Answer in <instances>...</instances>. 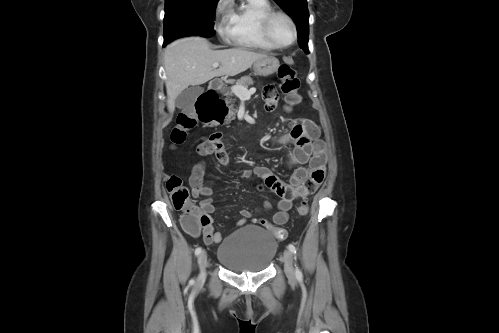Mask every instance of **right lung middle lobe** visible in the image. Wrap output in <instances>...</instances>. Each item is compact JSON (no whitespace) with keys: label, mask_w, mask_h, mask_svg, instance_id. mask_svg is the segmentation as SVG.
Instances as JSON below:
<instances>
[{"label":"right lung middle lobe","mask_w":499,"mask_h":333,"mask_svg":"<svg viewBox=\"0 0 499 333\" xmlns=\"http://www.w3.org/2000/svg\"><path fill=\"white\" fill-rule=\"evenodd\" d=\"M219 0H165L164 42L199 35L212 37Z\"/></svg>","instance_id":"right-lung-middle-lobe-1"}]
</instances>
